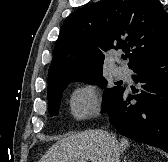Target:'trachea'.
I'll return each mask as SVG.
<instances>
[{"mask_svg": "<svg viewBox=\"0 0 168 162\" xmlns=\"http://www.w3.org/2000/svg\"><path fill=\"white\" fill-rule=\"evenodd\" d=\"M127 58H128V56H124V57H123V59H127Z\"/></svg>", "mask_w": 168, "mask_h": 162, "instance_id": "trachea-1", "label": "trachea"}]
</instances>
